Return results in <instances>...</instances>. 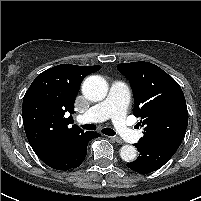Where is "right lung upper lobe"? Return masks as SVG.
<instances>
[{"mask_svg": "<svg viewBox=\"0 0 201 201\" xmlns=\"http://www.w3.org/2000/svg\"><path fill=\"white\" fill-rule=\"evenodd\" d=\"M101 66L61 64L39 74L23 98L27 139L44 162L63 154L83 130L73 125L74 101L83 79Z\"/></svg>", "mask_w": 201, "mask_h": 201, "instance_id": "obj_1", "label": "right lung upper lobe"}]
</instances>
